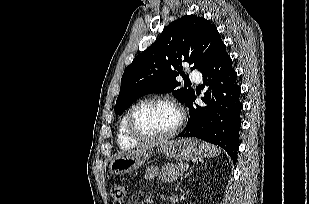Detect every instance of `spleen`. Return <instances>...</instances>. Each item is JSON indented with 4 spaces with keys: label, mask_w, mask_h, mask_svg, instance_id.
<instances>
[{
    "label": "spleen",
    "mask_w": 309,
    "mask_h": 204,
    "mask_svg": "<svg viewBox=\"0 0 309 204\" xmlns=\"http://www.w3.org/2000/svg\"><path fill=\"white\" fill-rule=\"evenodd\" d=\"M203 148V156L207 158H213L221 153L217 147L210 145L208 143H203L202 144Z\"/></svg>",
    "instance_id": "obj_1"
}]
</instances>
